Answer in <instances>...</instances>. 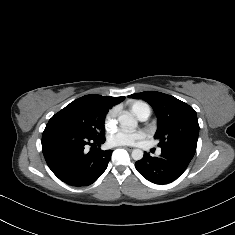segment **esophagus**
<instances>
[{
	"label": "esophagus",
	"instance_id": "obj_1",
	"mask_svg": "<svg viewBox=\"0 0 235 235\" xmlns=\"http://www.w3.org/2000/svg\"><path fill=\"white\" fill-rule=\"evenodd\" d=\"M122 148H124V149H126L128 151L133 150V147H131V146H122Z\"/></svg>",
	"mask_w": 235,
	"mask_h": 235
}]
</instances>
